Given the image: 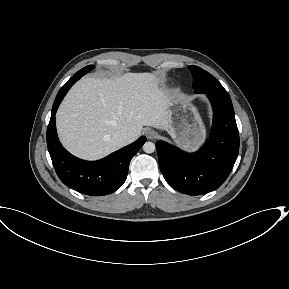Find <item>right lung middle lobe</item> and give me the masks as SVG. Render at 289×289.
Returning <instances> with one entry per match:
<instances>
[{
	"label": "right lung middle lobe",
	"mask_w": 289,
	"mask_h": 289,
	"mask_svg": "<svg viewBox=\"0 0 289 289\" xmlns=\"http://www.w3.org/2000/svg\"><path fill=\"white\" fill-rule=\"evenodd\" d=\"M92 69H94V66L88 65V66L84 67L83 69H81L80 71H78L77 73H81V74L84 75V74L88 73Z\"/></svg>",
	"instance_id": "dd1d6c3e"
}]
</instances>
